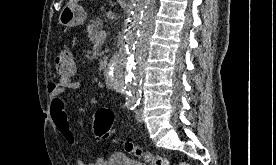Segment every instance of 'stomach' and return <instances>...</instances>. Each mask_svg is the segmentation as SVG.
Here are the masks:
<instances>
[{
  "label": "stomach",
  "instance_id": "1",
  "mask_svg": "<svg viewBox=\"0 0 276 165\" xmlns=\"http://www.w3.org/2000/svg\"><path fill=\"white\" fill-rule=\"evenodd\" d=\"M86 12L78 4L66 5L60 12L59 23L65 27H75L84 23Z\"/></svg>",
  "mask_w": 276,
  "mask_h": 165
}]
</instances>
